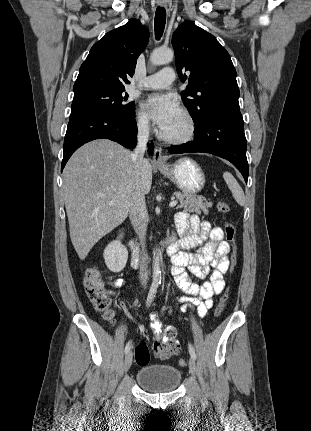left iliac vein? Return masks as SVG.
<instances>
[{"mask_svg": "<svg viewBox=\"0 0 311 431\" xmlns=\"http://www.w3.org/2000/svg\"><path fill=\"white\" fill-rule=\"evenodd\" d=\"M189 370L192 374H195V372H196L195 359H193L192 357L189 359Z\"/></svg>", "mask_w": 311, "mask_h": 431, "instance_id": "obj_1", "label": "left iliac vein"}]
</instances>
